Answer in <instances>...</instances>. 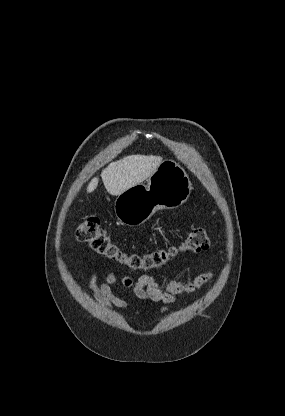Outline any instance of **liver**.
Listing matches in <instances>:
<instances>
[{
	"label": "liver",
	"mask_w": 285,
	"mask_h": 416,
	"mask_svg": "<svg viewBox=\"0 0 285 416\" xmlns=\"http://www.w3.org/2000/svg\"><path fill=\"white\" fill-rule=\"evenodd\" d=\"M162 160L161 156H127L118 162H111L101 172L102 182L111 196H120L129 188L150 178L162 164ZM98 184L99 178H93L87 186L88 194L94 192Z\"/></svg>",
	"instance_id": "1"
}]
</instances>
